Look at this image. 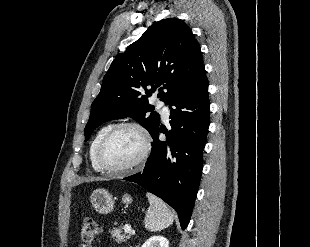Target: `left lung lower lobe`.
Masks as SVG:
<instances>
[{"label":"left lung lower lobe","instance_id":"obj_1","mask_svg":"<svg viewBox=\"0 0 310 247\" xmlns=\"http://www.w3.org/2000/svg\"><path fill=\"white\" fill-rule=\"evenodd\" d=\"M171 130L151 135V154L143 172L124 178L155 194L179 216L184 230L192 214L203 168V149L210 124L208 80L204 66L168 102ZM167 141L158 139L159 133Z\"/></svg>","mask_w":310,"mask_h":247}]
</instances>
